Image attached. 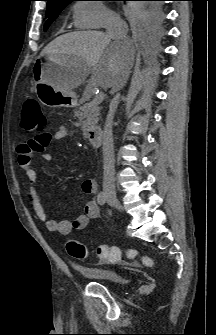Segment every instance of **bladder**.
Listing matches in <instances>:
<instances>
[{"label":"bladder","mask_w":216,"mask_h":335,"mask_svg":"<svg viewBox=\"0 0 216 335\" xmlns=\"http://www.w3.org/2000/svg\"><path fill=\"white\" fill-rule=\"evenodd\" d=\"M75 270L95 282H106L117 285L125 283L124 277L113 269L76 266Z\"/></svg>","instance_id":"obj_1"}]
</instances>
